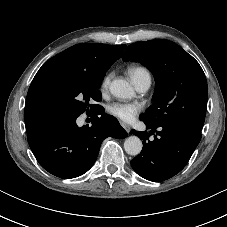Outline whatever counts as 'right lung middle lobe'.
I'll use <instances>...</instances> for the list:
<instances>
[{
    "label": "right lung middle lobe",
    "mask_w": 227,
    "mask_h": 227,
    "mask_svg": "<svg viewBox=\"0 0 227 227\" xmlns=\"http://www.w3.org/2000/svg\"><path fill=\"white\" fill-rule=\"evenodd\" d=\"M105 73L53 71L43 86V98L53 118L81 115L98 107L89 102L101 100L98 88Z\"/></svg>",
    "instance_id": "right-lung-middle-lobe-1"
}]
</instances>
